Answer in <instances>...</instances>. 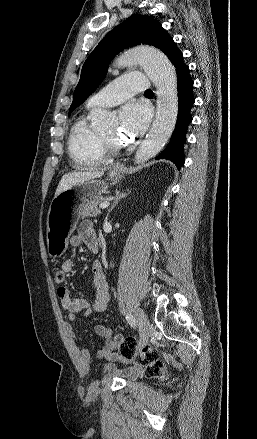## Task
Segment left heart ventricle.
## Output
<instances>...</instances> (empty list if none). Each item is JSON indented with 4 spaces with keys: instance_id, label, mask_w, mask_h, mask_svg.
<instances>
[{
    "instance_id": "b2bd125f",
    "label": "left heart ventricle",
    "mask_w": 257,
    "mask_h": 439,
    "mask_svg": "<svg viewBox=\"0 0 257 439\" xmlns=\"http://www.w3.org/2000/svg\"><path fill=\"white\" fill-rule=\"evenodd\" d=\"M116 131H117V129L114 128V129H112L111 131H109L108 133H106V134L104 135V137H105V138H108V139H114L115 136H116Z\"/></svg>"
}]
</instances>
